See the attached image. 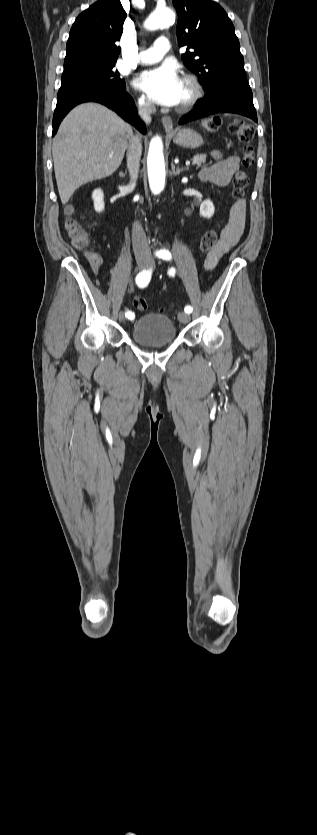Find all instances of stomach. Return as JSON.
I'll return each mask as SVG.
<instances>
[{
    "label": "stomach",
    "instance_id": "0dacf381",
    "mask_svg": "<svg viewBox=\"0 0 317 835\" xmlns=\"http://www.w3.org/2000/svg\"><path fill=\"white\" fill-rule=\"evenodd\" d=\"M171 135L175 144L185 148L195 149L203 144L201 135L191 128H180Z\"/></svg>",
    "mask_w": 317,
    "mask_h": 835
}]
</instances>
